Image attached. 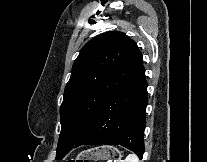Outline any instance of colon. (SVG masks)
<instances>
[{"label":"colon","instance_id":"1","mask_svg":"<svg viewBox=\"0 0 207 162\" xmlns=\"http://www.w3.org/2000/svg\"><path fill=\"white\" fill-rule=\"evenodd\" d=\"M65 162H90L88 160H67Z\"/></svg>","mask_w":207,"mask_h":162}]
</instances>
